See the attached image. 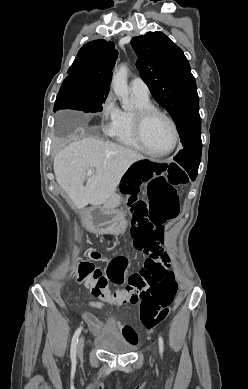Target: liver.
I'll return each mask as SVG.
<instances>
[{"label": "liver", "instance_id": "6515ba94", "mask_svg": "<svg viewBox=\"0 0 248 389\" xmlns=\"http://www.w3.org/2000/svg\"><path fill=\"white\" fill-rule=\"evenodd\" d=\"M145 157L122 145L85 138L67 145L54 158V173L74 207L106 203L127 169ZM89 175L86 184L87 171Z\"/></svg>", "mask_w": 248, "mask_h": 389}]
</instances>
